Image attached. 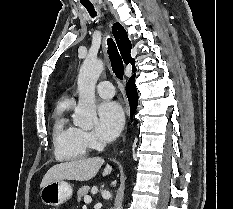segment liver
Instances as JSON below:
<instances>
[{
	"instance_id": "liver-1",
	"label": "liver",
	"mask_w": 233,
	"mask_h": 209,
	"mask_svg": "<svg viewBox=\"0 0 233 209\" xmlns=\"http://www.w3.org/2000/svg\"><path fill=\"white\" fill-rule=\"evenodd\" d=\"M103 163L104 160L102 158L95 157L56 164L46 172L40 187L43 188L47 184L57 180H90L97 174ZM111 171L112 167L107 165L103 171V176L110 174Z\"/></svg>"
}]
</instances>
